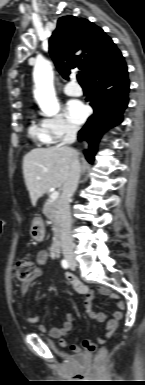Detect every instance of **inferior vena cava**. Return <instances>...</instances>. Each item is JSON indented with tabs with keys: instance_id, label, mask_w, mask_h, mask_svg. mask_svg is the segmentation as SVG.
Returning <instances> with one entry per match:
<instances>
[{
	"instance_id": "obj_1",
	"label": "inferior vena cava",
	"mask_w": 145,
	"mask_h": 385,
	"mask_svg": "<svg viewBox=\"0 0 145 385\" xmlns=\"http://www.w3.org/2000/svg\"><path fill=\"white\" fill-rule=\"evenodd\" d=\"M77 131V126L69 124L66 128V134L60 146L74 143L76 141ZM79 178L80 163L78 159L74 158L71 162L69 175L63 184L62 193L58 203V213L61 226V246L65 257L73 255L74 246L71 237L70 202L77 189Z\"/></svg>"
}]
</instances>
